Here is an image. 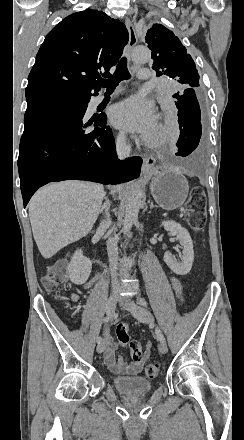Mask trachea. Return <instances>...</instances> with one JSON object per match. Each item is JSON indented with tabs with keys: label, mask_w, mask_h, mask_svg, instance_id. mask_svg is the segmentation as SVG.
Segmentation results:
<instances>
[{
	"label": "trachea",
	"mask_w": 244,
	"mask_h": 440,
	"mask_svg": "<svg viewBox=\"0 0 244 440\" xmlns=\"http://www.w3.org/2000/svg\"><path fill=\"white\" fill-rule=\"evenodd\" d=\"M130 78V73L127 69V59L123 57L117 65L114 75L107 78V80H98L97 84L100 87L107 89V92L113 91L122 80H127Z\"/></svg>",
	"instance_id": "obj_1"
}]
</instances>
